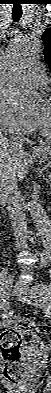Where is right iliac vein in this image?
Here are the masks:
<instances>
[{
  "label": "right iliac vein",
  "instance_id": "63e3f726",
  "mask_svg": "<svg viewBox=\"0 0 51 393\" xmlns=\"http://www.w3.org/2000/svg\"><path fill=\"white\" fill-rule=\"evenodd\" d=\"M13 287V279L11 277H8L4 284L1 287L0 290V295H1V308L6 310V300L8 299L10 292ZM5 300V301H4Z\"/></svg>",
  "mask_w": 51,
  "mask_h": 393
}]
</instances>
